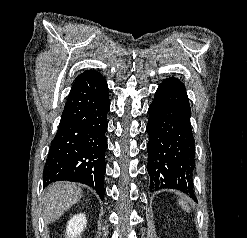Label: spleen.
Instances as JSON below:
<instances>
[{
	"label": "spleen",
	"instance_id": "1",
	"mask_svg": "<svg viewBox=\"0 0 247 238\" xmlns=\"http://www.w3.org/2000/svg\"><path fill=\"white\" fill-rule=\"evenodd\" d=\"M179 205H181V206H182V208H183V209H185L186 211H188V210H189V207H188V205L186 204V202H185V201L180 200V201H179Z\"/></svg>",
	"mask_w": 247,
	"mask_h": 238
}]
</instances>
